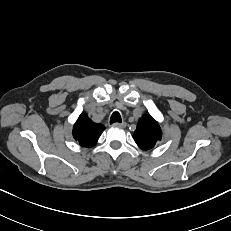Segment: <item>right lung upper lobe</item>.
Instances as JSON below:
<instances>
[{"label": "right lung upper lobe", "mask_w": 231, "mask_h": 231, "mask_svg": "<svg viewBox=\"0 0 231 231\" xmlns=\"http://www.w3.org/2000/svg\"><path fill=\"white\" fill-rule=\"evenodd\" d=\"M104 129L102 124L94 123L85 113H82L74 125L73 136L81 146L92 147L97 143Z\"/></svg>", "instance_id": "1"}]
</instances>
